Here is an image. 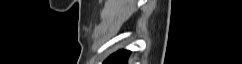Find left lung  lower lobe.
Wrapping results in <instances>:
<instances>
[{"label": "left lung lower lobe", "mask_w": 242, "mask_h": 64, "mask_svg": "<svg viewBox=\"0 0 242 64\" xmlns=\"http://www.w3.org/2000/svg\"><path fill=\"white\" fill-rule=\"evenodd\" d=\"M130 51L120 50L108 57L103 64H126Z\"/></svg>", "instance_id": "obj_1"}]
</instances>
